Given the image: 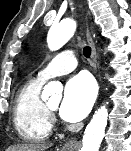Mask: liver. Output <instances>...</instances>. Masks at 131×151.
<instances>
[{"mask_svg":"<svg viewBox=\"0 0 131 151\" xmlns=\"http://www.w3.org/2000/svg\"><path fill=\"white\" fill-rule=\"evenodd\" d=\"M51 146L52 144L44 143L20 144L8 148L7 151H45Z\"/></svg>","mask_w":131,"mask_h":151,"instance_id":"6515ba94","label":"liver"}]
</instances>
